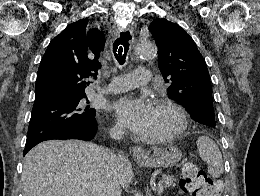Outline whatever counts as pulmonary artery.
I'll list each match as a JSON object with an SVG mask.
<instances>
[{"label": "pulmonary artery", "mask_w": 260, "mask_h": 196, "mask_svg": "<svg viewBox=\"0 0 260 196\" xmlns=\"http://www.w3.org/2000/svg\"><path fill=\"white\" fill-rule=\"evenodd\" d=\"M152 76L153 73L150 72V69H132V72H126V76H114V79L110 81V87L104 91L109 93H116L126 90H135V85L122 84H150Z\"/></svg>", "instance_id": "obj_1"}]
</instances>
